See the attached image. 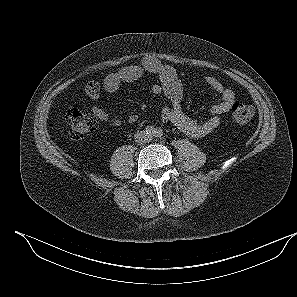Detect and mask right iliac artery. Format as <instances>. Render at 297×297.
I'll return each mask as SVG.
<instances>
[{
    "label": "right iliac artery",
    "instance_id": "right-iliac-artery-1",
    "mask_svg": "<svg viewBox=\"0 0 297 297\" xmlns=\"http://www.w3.org/2000/svg\"><path fill=\"white\" fill-rule=\"evenodd\" d=\"M146 133L149 135H153L155 133V129L153 126H147L146 127Z\"/></svg>",
    "mask_w": 297,
    "mask_h": 297
}]
</instances>
